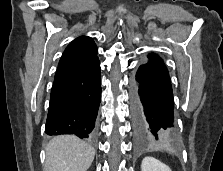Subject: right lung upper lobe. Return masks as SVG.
Wrapping results in <instances>:
<instances>
[{
	"label": "right lung upper lobe",
	"mask_w": 223,
	"mask_h": 171,
	"mask_svg": "<svg viewBox=\"0 0 223 171\" xmlns=\"http://www.w3.org/2000/svg\"><path fill=\"white\" fill-rule=\"evenodd\" d=\"M97 59V47L92 38L86 36L78 37L65 49L55 77L85 67Z\"/></svg>",
	"instance_id": "right-lung-upper-lobe-1"
}]
</instances>
